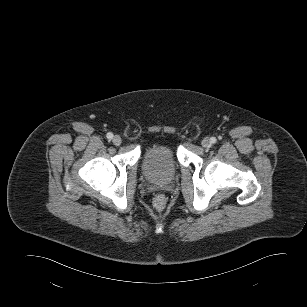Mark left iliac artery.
<instances>
[{
    "label": "left iliac artery",
    "instance_id": "1",
    "mask_svg": "<svg viewBox=\"0 0 307 307\" xmlns=\"http://www.w3.org/2000/svg\"><path fill=\"white\" fill-rule=\"evenodd\" d=\"M216 138L215 137H212L211 139H210V142L212 143V144H215L216 143Z\"/></svg>",
    "mask_w": 307,
    "mask_h": 307
}]
</instances>
